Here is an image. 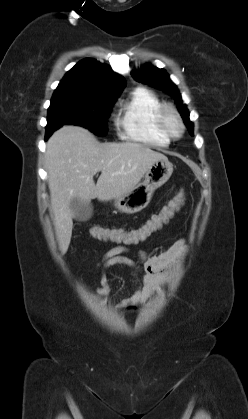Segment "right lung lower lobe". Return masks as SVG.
I'll return each mask as SVG.
<instances>
[{"label": "right lung lower lobe", "mask_w": 248, "mask_h": 419, "mask_svg": "<svg viewBox=\"0 0 248 419\" xmlns=\"http://www.w3.org/2000/svg\"><path fill=\"white\" fill-rule=\"evenodd\" d=\"M54 131H46V136L45 139L47 140L49 138V136L53 133Z\"/></svg>", "instance_id": "98d812e1"}]
</instances>
